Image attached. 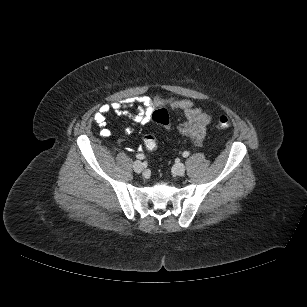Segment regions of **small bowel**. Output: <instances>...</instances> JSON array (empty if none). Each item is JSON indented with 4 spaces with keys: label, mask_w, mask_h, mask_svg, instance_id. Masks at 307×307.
<instances>
[{
    "label": "small bowel",
    "mask_w": 307,
    "mask_h": 307,
    "mask_svg": "<svg viewBox=\"0 0 307 307\" xmlns=\"http://www.w3.org/2000/svg\"><path fill=\"white\" fill-rule=\"evenodd\" d=\"M135 107L136 113H131L130 108ZM157 107H170L182 115V120L177 126L179 133L189 138L194 144L199 145L205 138L207 126L211 123V116L189 99L161 96H139L124 102H112L102 105L95 112L93 119L100 127V135L109 137L111 132L107 126L106 115L113 111L119 116L127 117L138 124H147L151 120L153 110ZM124 132L129 135L133 132L131 127H124Z\"/></svg>",
    "instance_id": "c3829d8e"
}]
</instances>
